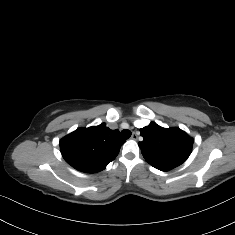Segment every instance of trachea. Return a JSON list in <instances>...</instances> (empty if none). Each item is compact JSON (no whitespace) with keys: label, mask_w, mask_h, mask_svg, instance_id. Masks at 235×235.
Instances as JSON below:
<instances>
[{"label":"trachea","mask_w":235,"mask_h":235,"mask_svg":"<svg viewBox=\"0 0 235 235\" xmlns=\"http://www.w3.org/2000/svg\"><path fill=\"white\" fill-rule=\"evenodd\" d=\"M120 135L122 139H128L131 136V131L128 129L122 130Z\"/></svg>","instance_id":"trachea-1"}]
</instances>
